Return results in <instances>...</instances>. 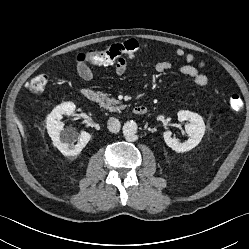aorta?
<instances>
[{
  "instance_id": "aorta-1",
  "label": "aorta",
  "mask_w": 249,
  "mask_h": 249,
  "mask_svg": "<svg viewBox=\"0 0 249 249\" xmlns=\"http://www.w3.org/2000/svg\"><path fill=\"white\" fill-rule=\"evenodd\" d=\"M137 124L135 121H127L124 125H123V134L126 137H131L134 136L137 133Z\"/></svg>"
}]
</instances>
